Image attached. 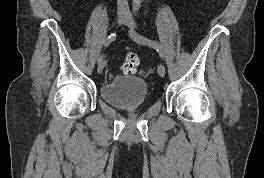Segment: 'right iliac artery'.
<instances>
[{"instance_id": "obj_1", "label": "right iliac artery", "mask_w": 264, "mask_h": 178, "mask_svg": "<svg viewBox=\"0 0 264 178\" xmlns=\"http://www.w3.org/2000/svg\"><path fill=\"white\" fill-rule=\"evenodd\" d=\"M116 38V33H111L104 42V47H108L112 41H114ZM103 61V56L101 55L98 59V63H101Z\"/></svg>"}]
</instances>
